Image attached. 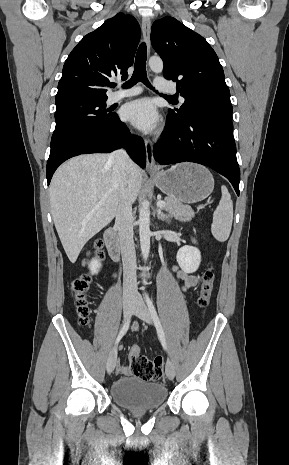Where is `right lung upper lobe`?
Listing matches in <instances>:
<instances>
[{
    "mask_svg": "<svg viewBox=\"0 0 289 465\" xmlns=\"http://www.w3.org/2000/svg\"><path fill=\"white\" fill-rule=\"evenodd\" d=\"M139 39L138 22L124 13L83 37L65 61L55 103L107 99L109 79L128 77Z\"/></svg>",
    "mask_w": 289,
    "mask_h": 465,
    "instance_id": "1",
    "label": "right lung upper lobe"
}]
</instances>
